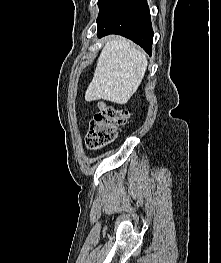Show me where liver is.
Instances as JSON below:
<instances>
[{"instance_id":"liver-1","label":"liver","mask_w":221,"mask_h":263,"mask_svg":"<svg viewBox=\"0 0 221 263\" xmlns=\"http://www.w3.org/2000/svg\"><path fill=\"white\" fill-rule=\"evenodd\" d=\"M147 65L145 54L129 40L112 37L101 51L85 100L126 104L141 84Z\"/></svg>"}]
</instances>
